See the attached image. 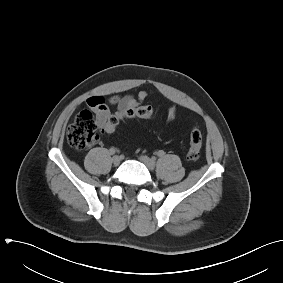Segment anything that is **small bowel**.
Listing matches in <instances>:
<instances>
[{
    "mask_svg": "<svg viewBox=\"0 0 283 283\" xmlns=\"http://www.w3.org/2000/svg\"><path fill=\"white\" fill-rule=\"evenodd\" d=\"M148 96L145 90L138 92L137 96L124 95V96H112L109 99H105L102 96H92L86 100L87 106L95 114V120L98 128H103L109 117L111 116L110 106H115L117 112H122L128 108L136 107L140 105ZM176 118V109L174 106L168 110L167 120L168 122L174 121Z\"/></svg>",
    "mask_w": 283,
    "mask_h": 283,
    "instance_id": "c3829d8e",
    "label": "small bowel"
}]
</instances>
